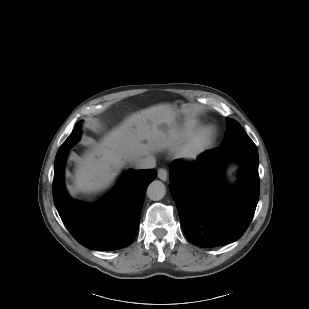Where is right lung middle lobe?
<instances>
[{
    "instance_id": "1",
    "label": "right lung middle lobe",
    "mask_w": 309,
    "mask_h": 309,
    "mask_svg": "<svg viewBox=\"0 0 309 309\" xmlns=\"http://www.w3.org/2000/svg\"><path fill=\"white\" fill-rule=\"evenodd\" d=\"M80 128H81L80 123L79 122L76 123L73 132L66 139V141L61 145V147L59 148V150L57 152L56 157L59 156L60 154H62L63 152L68 151L77 141H79V139H80Z\"/></svg>"
}]
</instances>
